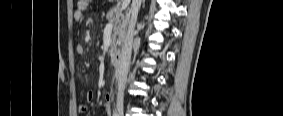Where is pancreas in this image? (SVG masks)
Returning <instances> with one entry per match:
<instances>
[{
    "label": "pancreas",
    "mask_w": 283,
    "mask_h": 116,
    "mask_svg": "<svg viewBox=\"0 0 283 116\" xmlns=\"http://www.w3.org/2000/svg\"><path fill=\"white\" fill-rule=\"evenodd\" d=\"M106 19L109 22H114L111 50H110V52H112L117 48L118 45L122 43V40L126 33L128 16L122 15L119 8L114 7L107 13Z\"/></svg>",
    "instance_id": "obj_1"
}]
</instances>
